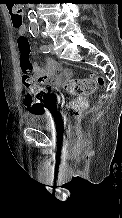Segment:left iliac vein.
<instances>
[{
	"instance_id": "left-iliac-vein-1",
	"label": "left iliac vein",
	"mask_w": 122,
	"mask_h": 218,
	"mask_svg": "<svg viewBox=\"0 0 122 218\" xmlns=\"http://www.w3.org/2000/svg\"><path fill=\"white\" fill-rule=\"evenodd\" d=\"M50 53H54L53 44H48Z\"/></svg>"
}]
</instances>
